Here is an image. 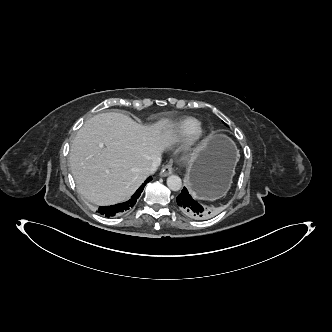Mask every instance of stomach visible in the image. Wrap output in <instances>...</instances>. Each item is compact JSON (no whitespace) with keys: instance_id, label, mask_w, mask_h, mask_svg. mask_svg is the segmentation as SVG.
<instances>
[{"instance_id":"0dacf381","label":"stomach","mask_w":332,"mask_h":332,"mask_svg":"<svg viewBox=\"0 0 332 332\" xmlns=\"http://www.w3.org/2000/svg\"><path fill=\"white\" fill-rule=\"evenodd\" d=\"M238 160L233 141L224 134L208 136L191 159L185 179L194 198L216 200L223 197L232 182Z\"/></svg>"}]
</instances>
